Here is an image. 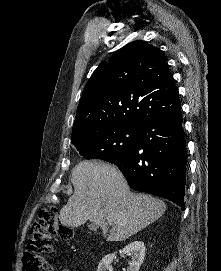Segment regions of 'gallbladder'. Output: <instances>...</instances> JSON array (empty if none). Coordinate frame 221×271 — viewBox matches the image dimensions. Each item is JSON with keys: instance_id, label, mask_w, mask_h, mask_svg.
Listing matches in <instances>:
<instances>
[{"instance_id": "1", "label": "gallbladder", "mask_w": 221, "mask_h": 271, "mask_svg": "<svg viewBox=\"0 0 221 271\" xmlns=\"http://www.w3.org/2000/svg\"><path fill=\"white\" fill-rule=\"evenodd\" d=\"M89 229H91V231H96V229H98V225H95V223H91V225H88Z\"/></svg>"}]
</instances>
